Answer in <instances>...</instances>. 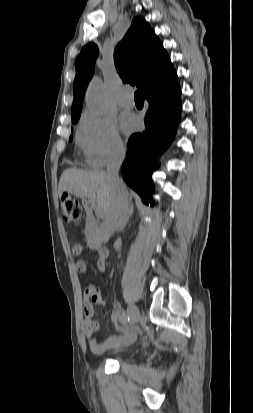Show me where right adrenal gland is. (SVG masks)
Returning a JSON list of instances; mask_svg holds the SVG:
<instances>
[{
  "instance_id": "2a0ac1e0",
  "label": "right adrenal gland",
  "mask_w": 253,
  "mask_h": 413,
  "mask_svg": "<svg viewBox=\"0 0 253 413\" xmlns=\"http://www.w3.org/2000/svg\"><path fill=\"white\" fill-rule=\"evenodd\" d=\"M133 211H134V207H133V205H130V207H129L128 211H127L125 220H124L123 224H122L121 227H120V231H122V230L125 228L126 224L128 223L130 217H131L132 214H133ZM118 229H119V228H118Z\"/></svg>"
}]
</instances>
